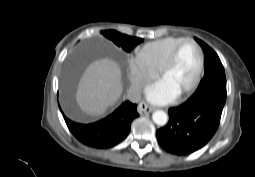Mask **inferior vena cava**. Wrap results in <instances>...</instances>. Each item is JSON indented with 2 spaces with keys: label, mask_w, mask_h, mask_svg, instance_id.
Returning a JSON list of instances; mask_svg holds the SVG:
<instances>
[{
  "label": "inferior vena cava",
  "mask_w": 255,
  "mask_h": 177,
  "mask_svg": "<svg viewBox=\"0 0 255 177\" xmlns=\"http://www.w3.org/2000/svg\"><path fill=\"white\" fill-rule=\"evenodd\" d=\"M142 88H143L142 85H134L130 87L127 93L128 99L133 103L139 102L141 100Z\"/></svg>",
  "instance_id": "inferior-vena-cava-1"
}]
</instances>
